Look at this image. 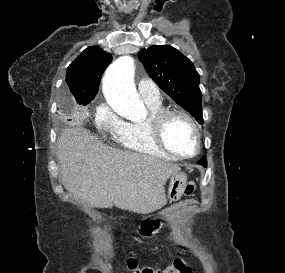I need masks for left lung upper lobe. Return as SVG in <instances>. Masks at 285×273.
I'll list each match as a JSON object with an SVG mask.
<instances>
[{"label": "left lung upper lobe", "mask_w": 285, "mask_h": 273, "mask_svg": "<svg viewBox=\"0 0 285 273\" xmlns=\"http://www.w3.org/2000/svg\"><path fill=\"white\" fill-rule=\"evenodd\" d=\"M139 60L157 85L203 124L199 74L192 62L169 45H154L142 49Z\"/></svg>", "instance_id": "1"}]
</instances>
